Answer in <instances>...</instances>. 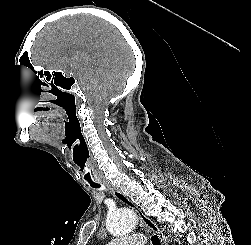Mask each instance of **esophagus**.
<instances>
[{
    "mask_svg": "<svg viewBox=\"0 0 251 245\" xmlns=\"http://www.w3.org/2000/svg\"><path fill=\"white\" fill-rule=\"evenodd\" d=\"M103 183L107 186L108 189L112 191V193L118 200H120L122 203L126 204L127 206L131 207L133 210L136 211L140 221L143 224H145L149 229L158 234L162 245H168L169 241L167 240V238H165L163 231L151 218L146 216L144 212L130 200V198L123 194L118 188L113 186L110 181L104 179Z\"/></svg>",
    "mask_w": 251,
    "mask_h": 245,
    "instance_id": "1",
    "label": "esophagus"
}]
</instances>
